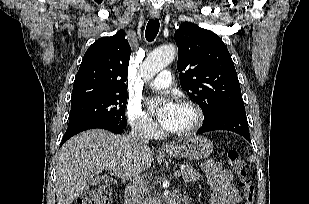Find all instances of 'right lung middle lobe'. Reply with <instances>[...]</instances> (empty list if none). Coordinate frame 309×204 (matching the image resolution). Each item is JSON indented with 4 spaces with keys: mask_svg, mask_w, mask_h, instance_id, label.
Here are the masks:
<instances>
[{
    "mask_svg": "<svg viewBox=\"0 0 309 204\" xmlns=\"http://www.w3.org/2000/svg\"><path fill=\"white\" fill-rule=\"evenodd\" d=\"M127 92L111 93L71 103L69 126L84 121H100L125 128Z\"/></svg>",
    "mask_w": 309,
    "mask_h": 204,
    "instance_id": "dd1d6c3e",
    "label": "right lung middle lobe"
}]
</instances>
